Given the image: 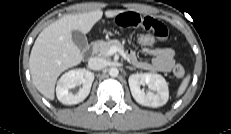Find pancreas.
<instances>
[{"label": "pancreas", "mask_w": 231, "mask_h": 134, "mask_svg": "<svg viewBox=\"0 0 231 134\" xmlns=\"http://www.w3.org/2000/svg\"><path fill=\"white\" fill-rule=\"evenodd\" d=\"M117 47L120 51H124V46L118 40L101 41L94 44V51L100 56H109L108 51L111 47Z\"/></svg>", "instance_id": "1"}]
</instances>
